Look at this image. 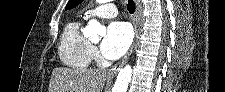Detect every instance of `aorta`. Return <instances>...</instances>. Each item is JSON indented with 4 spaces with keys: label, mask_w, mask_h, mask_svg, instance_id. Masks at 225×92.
Listing matches in <instances>:
<instances>
[{
    "label": "aorta",
    "mask_w": 225,
    "mask_h": 92,
    "mask_svg": "<svg viewBox=\"0 0 225 92\" xmlns=\"http://www.w3.org/2000/svg\"><path fill=\"white\" fill-rule=\"evenodd\" d=\"M108 1L109 0H97L98 3H105ZM104 33L105 28L97 20H90L84 30V34L92 39H96L99 35ZM131 77L132 68L130 65H126L124 68L120 69L113 88V92H126Z\"/></svg>",
    "instance_id": "obj_1"
}]
</instances>
